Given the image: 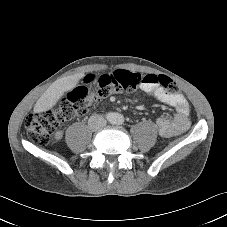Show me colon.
<instances>
[{
  "instance_id": "colon-1",
  "label": "colon",
  "mask_w": 227,
  "mask_h": 227,
  "mask_svg": "<svg viewBox=\"0 0 227 227\" xmlns=\"http://www.w3.org/2000/svg\"><path fill=\"white\" fill-rule=\"evenodd\" d=\"M143 84H157L177 93V84L164 75H141L128 70L96 76L91 87L79 86L61 100L56 108L30 114L25 121L28 136L38 145H47L54 130L65 122L85 114L94 102L121 92H131Z\"/></svg>"
}]
</instances>
